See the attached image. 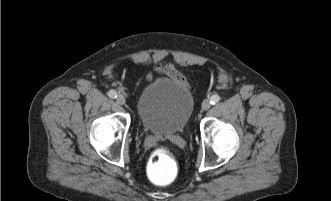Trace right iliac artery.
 Wrapping results in <instances>:
<instances>
[{
  "mask_svg": "<svg viewBox=\"0 0 331 201\" xmlns=\"http://www.w3.org/2000/svg\"><path fill=\"white\" fill-rule=\"evenodd\" d=\"M108 96L112 99L117 97V92L115 90L108 91Z\"/></svg>",
  "mask_w": 331,
  "mask_h": 201,
  "instance_id": "obj_1",
  "label": "right iliac artery"
}]
</instances>
